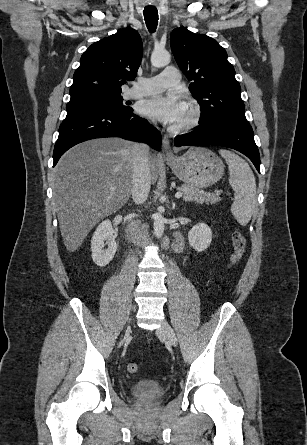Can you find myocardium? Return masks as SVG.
Listing matches in <instances>:
<instances>
[{
    "mask_svg": "<svg viewBox=\"0 0 307 445\" xmlns=\"http://www.w3.org/2000/svg\"><path fill=\"white\" fill-rule=\"evenodd\" d=\"M204 117V111L202 107L197 102H190L188 104V117L181 123L175 124L172 127L174 132H187L195 127H197Z\"/></svg>",
    "mask_w": 307,
    "mask_h": 445,
    "instance_id": "f54148a6",
    "label": "myocardium"
}]
</instances>
